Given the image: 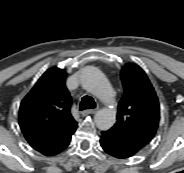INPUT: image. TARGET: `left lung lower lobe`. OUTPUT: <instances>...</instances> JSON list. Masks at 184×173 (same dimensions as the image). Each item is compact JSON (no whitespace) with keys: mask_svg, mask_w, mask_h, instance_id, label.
Returning <instances> with one entry per match:
<instances>
[{"mask_svg":"<svg viewBox=\"0 0 184 173\" xmlns=\"http://www.w3.org/2000/svg\"><path fill=\"white\" fill-rule=\"evenodd\" d=\"M100 144L106 153L117 159H126L138 153L111 130L102 131Z\"/></svg>","mask_w":184,"mask_h":173,"instance_id":"0a47b994","label":"left lung lower lobe"}]
</instances>
